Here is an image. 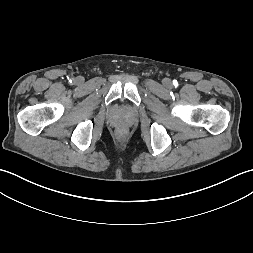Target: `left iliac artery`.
Returning <instances> with one entry per match:
<instances>
[{
	"label": "left iliac artery",
	"mask_w": 253,
	"mask_h": 253,
	"mask_svg": "<svg viewBox=\"0 0 253 253\" xmlns=\"http://www.w3.org/2000/svg\"><path fill=\"white\" fill-rule=\"evenodd\" d=\"M173 84H174V85H177V81H176V80H174V81H173Z\"/></svg>",
	"instance_id": "1"
}]
</instances>
